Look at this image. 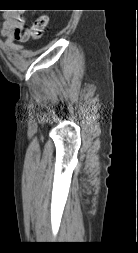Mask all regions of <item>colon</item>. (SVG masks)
Here are the masks:
<instances>
[{
  "mask_svg": "<svg viewBox=\"0 0 138 253\" xmlns=\"http://www.w3.org/2000/svg\"><path fill=\"white\" fill-rule=\"evenodd\" d=\"M48 24V16L40 15L32 23L29 30V35L35 40H40L43 38Z\"/></svg>",
  "mask_w": 138,
  "mask_h": 253,
  "instance_id": "5ec220e1",
  "label": "colon"
}]
</instances>
